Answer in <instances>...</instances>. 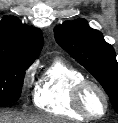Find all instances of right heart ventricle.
Returning <instances> with one entry per match:
<instances>
[{"instance_id":"1","label":"right heart ventricle","mask_w":118,"mask_h":123,"mask_svg":"<svg viewBox=\"0 0 118 123\" xmlns=\"http://www.w3.org/2000/svg\"><path fill=\"white\" fill-rule=\"evenodd\" d=\"M84 74L61 59L53 60L39 75L34 88V105L51 115L86 120L72 104L74 86L85 80Z\"/></svg>"}]
</instances>
